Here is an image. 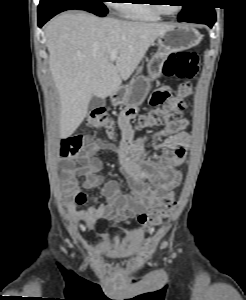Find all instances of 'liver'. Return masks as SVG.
<instances>
[{"label": "liver", "instance_id": "6515ba94", "mask_svg": "<svg viewBox=\"0 0 246 300\" xmlns=\"http://www.w3.org/2000/svg\"><path fill=\"white\" fill-rule=\"evenodd\" d=\"M172 25L99 18L67 12L45 27L49 70L60 97V137L80 126L93 96L106 98L121 87L154 41ZM118 50L115 61L112 50Z\"/></svg>", "mask_w": 246, "mask_h": 300}]
</instances>
